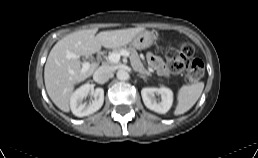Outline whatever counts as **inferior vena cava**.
<instances>
[{"instance_id": "obj_1", "label": "inferior vena cava", "mask_w": 258, "mask_h": 158, "mask_svg": "<svg viewBox=\"0 0 258 158\" xmlns=\"http://www.w3.org/2000/svg\"><path fill=\"white\" fill-rule=\"evenodd\" d=\"M112 75V70L108 66L99 67L93 75V79L95 82L99 84L106 83Z\"/></svg>"}]
</instances>
